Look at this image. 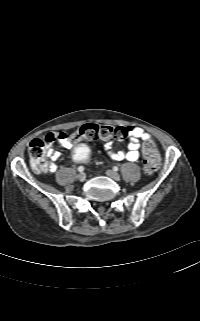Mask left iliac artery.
I'll return each instance as SVG.
<instances>
[{
    "mask_svg": "<svg viewBox=\"0 0 200 321\" xmlns=\"http://www.w3.org/2000/svg\"><path fill=\"white\" fill-rule=\"evenodd\" d=\"M113 169H114V171H118V167L117 166H114Z\"/></svg>",
    "mask_w": 200,
    "mask_h": 321,
    "instance_id": "left-iliac-artery-1",
    "label": "left iliac artery"
}]
</instances>
